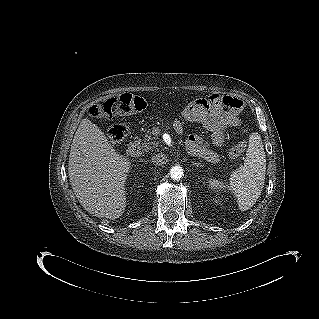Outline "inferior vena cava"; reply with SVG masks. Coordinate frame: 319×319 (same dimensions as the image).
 Instances as JSON below:
<instances>
[{
	"label": "inferior vena cava",
	"instance_id": "inferior-vena-cava-1",
	"mask_svg": "<svg viewBox=\"0 0 319 319\" xmlns=\"http://www.w3.org/2000/svg\"><path fill=\"white\" fill-rule=\"evenodd\" d=\"M151 161L156 166H162L167 162V157L162 153H157L152 156Z\"/></svg>",
	"mask_w": 319,
	"mask_h": 319
}]
</instances>
